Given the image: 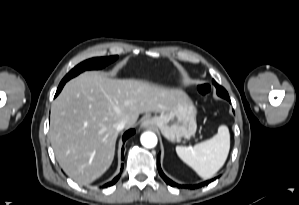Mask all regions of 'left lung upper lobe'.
Returning a JSON list of instances; mask_svg holds the SVG:
<instances>
[{"instance_id": "left-lung-upper-lobe-1", "label": "left lung upper lobe", "mask_w": 299, "mask_h": 205, "mask_svg": "<svg viewBox=\"0 0 299 205\" xmlns=\"http://www.w3.org/2000/svg\"><path fill=\"white\" fill-rule=\"evenodd\" d=\"M213 84L215 85V87L217 89V94L220 97H223V98L229 97L227 91L223 87L218 85L214 80H213Z\"/></svg>"}]
</instances>
